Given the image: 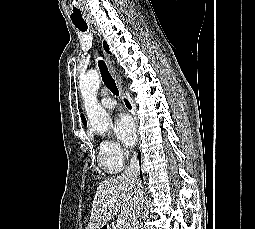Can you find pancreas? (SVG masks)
<instances>
[{
	"mask_svg": "<svg viewBox=\"0 0 255 229\" xmlns=\"http://www.w3.org/2000/svg\"><path fill=\"white\" fill-rule=\"evenodd\" d=\"M112 229H124L123 227L113 226Z\"/></svg>",
	"mask_w": 255,
	"mask_h": 229,
	"instance_id": "1",
	"label": "pancreas"
}]
</instances>
